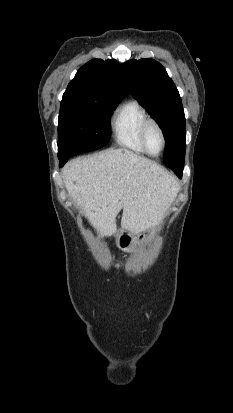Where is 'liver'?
Listing matches in <instances>:
<instances>
[{
	"mask_svg": "<svg viewBox=\"0 0 233 413\" xmlns=\"http://www.w3.org/2000/svg\"><path fill=\"white\" fill-rule=\"evenodd\" d=\"M62 178L69 196L101 237L121 227L135 234L159 225L179 184L164 168L128 149H108L67 163Z\"/></svg>",
	"mask_w": 233,
	"mask_h": 413,
	"instance_id": "6515ba94",
	"label": "liver"
}]
</instances>
